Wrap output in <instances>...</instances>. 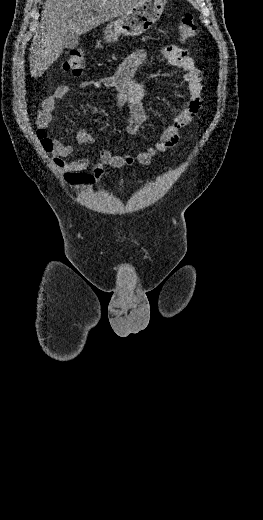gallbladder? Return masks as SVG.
<instances>
[{"mask_svg": "<svg viewBox=\"0 0 263 520\" xmlns=\"http://www.w3.org/2000/svg\"><path fill=\"white\" fill-rule=\"evenodd\" d=\"M79 36L74 33L68 32L64 35V47L72 49L78 45Z\"/></svg>", "mask_w": 263, "mask_h": 520, "instance_id": "bac80fb5", "label": "gallbladder"}]
</instances>
